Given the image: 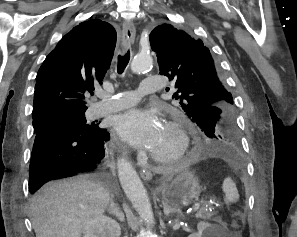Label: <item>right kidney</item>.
Here are the masks:
<instances>
[{
	"label": "right kidney",
	"mask_w": 297,
	"mask_h": 237,
	"mask_svg": "<svg viewBox=\"0 0 297 237\" xmlns=\"http://www.w3.org/2000/svg\"><path fill=\"white\" fill-rule=\"evenodd\" d=\"M83 237H120L121 228L108 216L92 218L84 227Z\"/></svg>",
	"instance_id": "right-kidney-1"
}]
</instances>
